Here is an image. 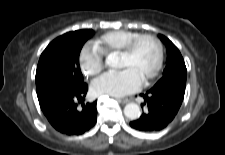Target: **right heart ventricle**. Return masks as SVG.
Here are the masks:
<instances>
[{"label": "right heart ventricle", "instance_id": "obj_1", "mask_svg": "<svg viewBox=\"0 0 225 155\" xmlns=\"http://www.w3.org/2000/svg\"><path fill=\"white\" fill-rule=\"evenodd\" d=\"M137 35H139L138 32L131 30L108 31L96 39L93 44L102 55H109L120 52Z\"/></svg>", "mask_w": 225, "mask_h": 155}]
</instances>
